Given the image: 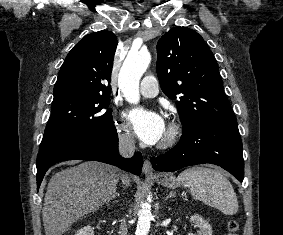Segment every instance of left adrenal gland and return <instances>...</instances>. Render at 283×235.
<instances>
[{"label":"left adrenal gland","instance_id":"1","mask_svg":"<svg viewBox=\"0 0 283 235\" xmlns=\"http://www.w3.org/2000/svg\"><path fill=\"white\" fill-rule=\"evenodd\" d=\"M175 196H176V193L172 191L169 193V195L166 196L165 200H167L168 198L175 197Z\"/></svg>","mask_w":283,"mask_h":235}]
</instances>
